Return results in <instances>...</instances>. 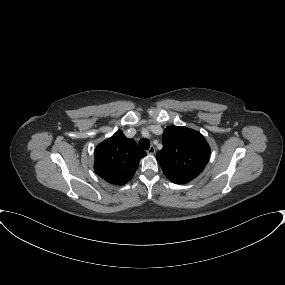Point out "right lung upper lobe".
<instances>
[{"mask_svg": "<svg viewBox=\"0 0 285 285\" xmlns=\"http://www.w3.org/2000/svg\"><path fill=\"white\" fill-rule=\"evenodd\" d=\"M144 156L146 152L137 148L135 140L126 138L119 130L96 147L94 170L108 183L124 185L133 177Z\"/></svg>", "mask_w": 285, "mask_h": 285, "instance_id": "1", "label": "right lung upper lobe"}]
</instances>
